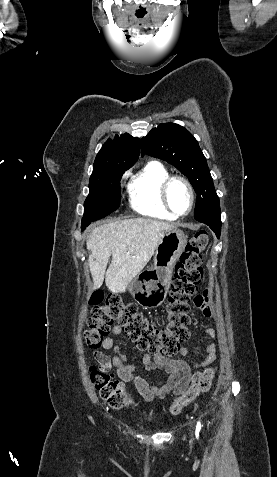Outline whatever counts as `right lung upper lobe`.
Wrapping results in <instances>:
<instances>
[{"instance_id":"1","label":"right lung upper lobe","mask_w":277,"mask_h":477,"mask_svg":"<svg viewBox=\"0 0 277 477\" xmlns=\"http://www.w3.org/2000/svg\"><path fill=\"white\" fill-rule=\"evenodd\" d=\"M139 148L140 140L128 133L108 139L96 156L93 173L114 167L130 168L138 159Z\"/></svg>"}]
</instances>
